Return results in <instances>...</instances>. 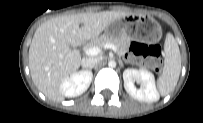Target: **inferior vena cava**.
Wrapping results in <instances>:
<instances>
[{"label": "inferior vena cava", "instance_id": "inferior-vena-cava-1", "mask_svg": "<svg viewBox=\"0 0 203 123\" xmlns=\"http://www.w3.org/2000/svg\"><path fill=\"white\" fill-rule=\"evenodd\" d=\"M100 61V58H97V57H86V58H83L82 61H81V65L83 68H86V69H92L94 68Z\"/></svg>", "mask_w": 203, "mask_h": 123}]
</instances>
